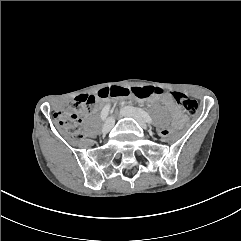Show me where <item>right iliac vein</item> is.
<instances>
[{
	"label": "right iliac vein",
	"instance_id": "right-iliac-vein-1",
	"mask_svg": "<svg viewBox=\"0 0 241 241\" xmlns=\"http://www.w3.org/2000/svg\"><path fill=\"white\" fill-rule=\"evenodd\" d=\"M113 126H114V119L112 117H110L103 124L102 132L104 134L108 133L112 129Z\"/></svg>",
	"mask_w": 241,
	"mask_h": 241
}]
</instances>
